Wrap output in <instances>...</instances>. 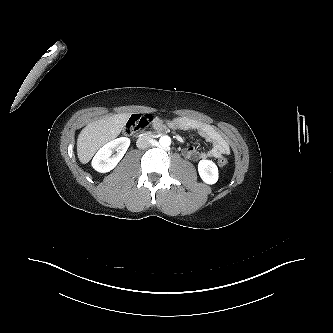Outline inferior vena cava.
<instances>
[{
	"mask_svg": "<svg viewBox=\"0 0 333 333\" xmlns=\"http://www.w3.org/2000/svg\"><path fill=\"white\" fill-rule=\"evenodd\" d=\"M151 139L148 136H142L137 139L136 145L139 149H145L151 146Z\"/></svg>",
	"mask_w": 333,
	"mask_h": 333,
	"instance_id": "obj_1",
	"label": "inferior vena cava"
}]
</instances>
